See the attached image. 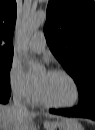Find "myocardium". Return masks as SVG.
I'll return each mask as SVG.
<instances>
[{
    "label": "myocardium",
    "mask_w": 95,
    "mask_h": 130,
    "mask_svg": "<svg viewBox=\"0 0 95 130\" xmlns=\"http://www.w3.org/2000/svg\"><path fill=\"white\" fill-rule=\"evenodd\" d=\"M48 72L53 73V74H61V75H64L66 78H68L75 88L76 97H75V100L70 104H66V105L57 104V103L51 102L48 99H46L45 96L43 95L39 85L36 84V93H37V97H38L39 101L42 104H44L48 107H52V108L68 109V108L75 107L81 99L80 87H79V84L77 83V81L75 80V78L70 73H68L66 70L60 69V68H53V69H50Z\"/></svg>",
    "instance_id": "f54148a6"
}]
</instances>
